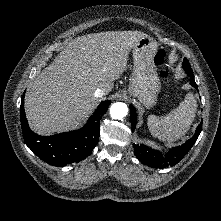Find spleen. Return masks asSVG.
Here are the masks:
<instances>
[{"instance_id": "spleen-1", "label": "spleen", "mask_w": 221, "mask_h": 221, "mask_svg": "<svg viewBox=\"0 0 221 221\" xmlns=\"http://www.w3.org/2000/svg\"><path fill=\"white\" fill-rule=\"evenodd\" d=\"M197 111V102L191 93L185 96L177 108L165 116H148V128L161 141H175L186 134Z\"/></svg>"}]
</instances>
